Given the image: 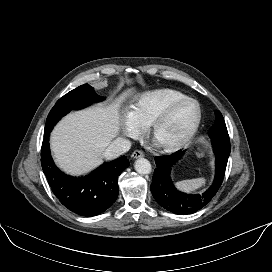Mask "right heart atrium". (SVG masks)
Returning a JSON list of instances; mask_svg holds the SVG:
<instances>
[{
  "instance_id": "1",
  "label": "right heart atrium",
  "mask_w": 272,
  "mask_h": 272,
  "mask_svg": "<svg viewBox=\"0 0 272 272\" xmlns=\"http://www.w3.org/2000/svg\"><path fill=\"white\" fill-rule=\"evenodd\" d=\"M122 125L123 131L128 137L137 138L142 133V130L133 122L129 113L123 117Z\"/></svg>"
}]
</instances>
